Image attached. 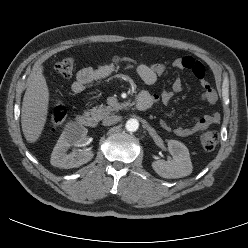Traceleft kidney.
I'll return each instance as SVG.
<instances>
[{
	"label": "left kidney",
	"instance_id": "1",
	"mask_svg": "<svg viewBox=\"0 0 248 248\" xmlns=\"http://www.w3.org/2000/svg\"><path fill=\"white\" fill-rule=\"evenodd\" d=\"M171 160H157L152 163L154 171L163 178H182L192 173V163L187 147L176 140L168 141Z\"/></svg>",
	"mask_w": 248,
	"mask_h": 248
}]
</instances>
